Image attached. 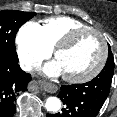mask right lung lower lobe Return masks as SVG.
<instances>
[{"instance_id":"1","label":"right lung lower lobe","mask_w":117,"mask_h":117,"mask_svg":"<svg viewBox=\"0 0 117 117\" xmlns=\"http://www.w3.org/2000/svg\"><path fill=\"white\" fill-rule=\"evenodd\" d=\"M30 81L31 75L19 67L18 61L0 58V117L14 115L16 95L20 91H27Z\"/></svg>"}]
</instances>
